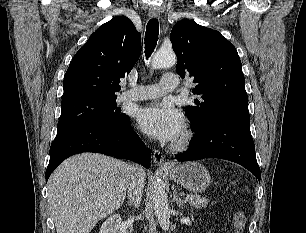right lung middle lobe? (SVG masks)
<instances>
[{
	"label": "right lung middle lobe",
	"instance_id": "1",
	"mask_svg": "<svg viewBox=\"0 0 306 233\" xmlns=\"http://www.w3.org/2000/svg\"><path fill=\"white\" fill-rule=\"evenodd\" d=\"M61 109L57 134L92 123L120 126L129 120V116L120 114L121 109L116 107V98H81L61 103Z\"/></svg>",
	"mask_w": 306,
	"mask_h": 233
}]
</instances>
